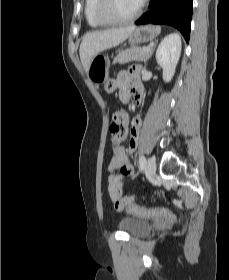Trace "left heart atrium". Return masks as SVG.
I'll list each match as a JSON object with an SVG mask.
<instances>
[{"label": "left heart atrium", "mask_w": 229, "mask_h": 280, "mask_svg": "<svg viewBox=\"0 0 229 280\" xmlns=\"http://www.w3.org/2000/svg\"><path fill=\"white\" fill-rule=\"evenodd\" d=\"M137 1H138L139 5H141L144 2V0H137Z\"/></svg>", "instance_id": "obj_1"}]
</instances>
